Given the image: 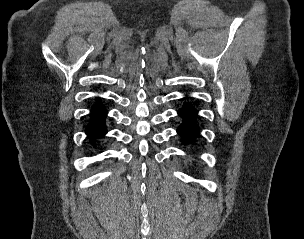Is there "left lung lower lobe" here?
<instances>
[{
    "mask_svg": "<svg viewBox=\"0 0 304 239\" xmlns=\"http://www.w3.org/2000/svg\"><path fill=\"white\" fill-rule=\"evenodd\" d=\"M195 113L196 112L193 107L188 103H186L183 108L178 111L179 116L183 118V122L177 129V132L185 144L193 142L199 132L195 120Z\"/></svg>",
    "mask_w": 304,
    "mask_h": 239,
    "instance_id": "1",
    "label": "left lung lower lobe"
}]
</instances>
